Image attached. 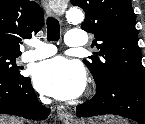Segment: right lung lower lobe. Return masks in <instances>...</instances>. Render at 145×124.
Here are the masks:
<instances>
[{
	"mask_svg": "<svg viewBox=\"0 0 145 124\" xmlns=\"http://www.w3.org/2000/svg\"><path fill=\"white\" fill-rule=\"evenodd\" d=\"M29 119H44L49 110L42 106L32 88L29 77H13L0 73V114Z\"/></svg>",
	"mask_w": 145,
	"mask_h": 124,
	"instance_id": "1",
	"label": "right lung lower lobe"
}]
</instances>
